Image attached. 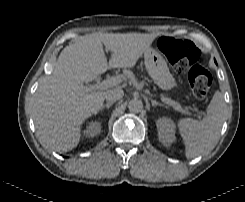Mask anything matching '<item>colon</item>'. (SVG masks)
I'll list each match as a JSON object with an SVG mask.
<instances>
[{
  "label": "colon",
  "instance_id": "1",
  "mask_svg": "<svg viewBox=\"0 0 245 202\" xmlns=\"http://www.w3.org/2000/svg\"><path fill=\"white\" fill-rule=\"evenodd\" d=\"M159 47L178 73H187L192 92L204 97L212 85V75L200 66V51L189 41L174 36L160 38Z\"/></svg>",
  "mask_w": 245,
  "mask_h": 202
}]
</instances>
